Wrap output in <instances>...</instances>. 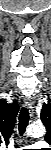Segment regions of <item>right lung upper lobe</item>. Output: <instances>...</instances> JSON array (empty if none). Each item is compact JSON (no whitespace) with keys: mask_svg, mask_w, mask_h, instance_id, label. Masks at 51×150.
<instances>
[{"mask_svg":"<svg viewBox=\"0 0 51 150\" xmlns=\"http://www.w3.org/2000/svg\"><path fill=\"white\" fill-rule=\"evenodd\" d=\"M19 110L17 102L8 104L5 101L0 102V144L8 143L16 120V115Z\"/></svg>","mask_w":51,"mask_h":150,"instance_id":"right-lung-upper-lobe-1","label":"right lung upper lobe"}]
</instances>
